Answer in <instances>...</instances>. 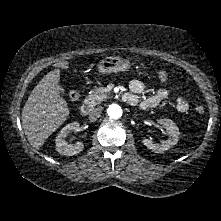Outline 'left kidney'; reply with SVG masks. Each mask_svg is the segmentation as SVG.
I'll return each instance as SVG.
<instances>
[{
	"instance_id": "obj_1",
	"label": "left kidney",
	"mask_w": 221,
	"mask_h": 221,
	"mask_svg": "<svg viewBox=\"0 0 221 221\" xmlns=\"http://www.w3.org/2000/svg\"><path fill=\"white\" fill-rule=\"evenodd\" d=\"M157 123L160 125H163L168 134L169 138L162 142L161 144H154L152 141L148 139H142V143L150 150L156 153H161L163 151H166L170 149L173 145H175L178 142V136L180 134L179 128L175 125V123L170 119H159L157 120Z\"/></svg>"
}]
</instances>
